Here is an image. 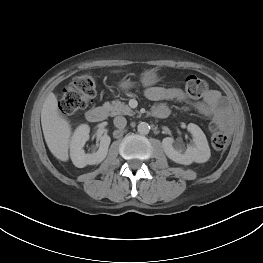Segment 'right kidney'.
<instances>
[{"label":"right kidney","instance_id":"1","mask_svg":"<svg viewBox=\"0 0 263 263\" xmlns=\"http://www.w3.org/2000/svg\"><path fill=\"white\" fill-rule=\"evenodd\" d=\"M89 132L90 127L87 124H81L74 131L70 141V157L73 164L78 168L101 163L108 152L111 139L107 134H104L100 137L98 151L92 154H85L83 147L89 139Z\"/></svg>","mask_w":263,"mask_h":263}]
</instances>
